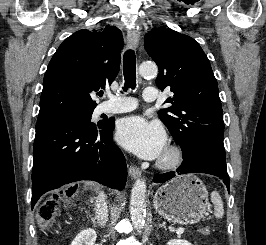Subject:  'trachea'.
Listing matches in <instances>:
<instances>
[{"mask_svg":"<svg viewBox=\"0 0 266 245\" xmlns=\"http://www.w3.org/2000/svg\"><path fill=\"white\" fill-rule=\"evenodd\" d=\"M123 71H124V79L125 86L124 91L127 88H135L136 87V57L135 52L133 50H127L124 53L123 58Z\"/></svg>","mask_w":266,"mask_h":245,"instance_id":"3493384b","label":"trachea"}]
</instances>
